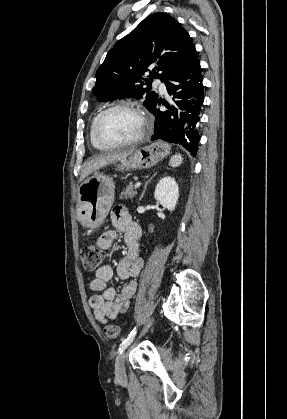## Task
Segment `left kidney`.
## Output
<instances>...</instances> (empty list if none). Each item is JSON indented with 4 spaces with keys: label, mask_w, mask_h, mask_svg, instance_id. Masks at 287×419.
<instances>
[{
    "label": "left kidney",
    "mask_w": 287,
    "mask_h": 419,
    "mask_svg": "<svg viewBox=\"0 0 287 419\" xmlns=\"http://www.w3.org/2000/svg\"><path fill=\"white\" fill-rule=\"evenodd\" d=\"M154 197L164 208L173 211L179 198V188L175 179L170 176L162 178L155 188Z\"/></svg>",
    "instance_id": "5707ae66"
}]
</instances>
